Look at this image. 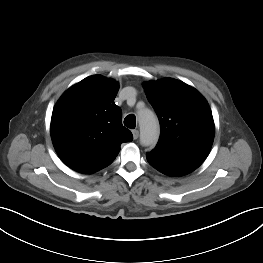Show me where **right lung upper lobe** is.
<instances>
[{
    "instance_id": "1",
    "label": "right lung upper lobe",
    "mask_w": 263,
    "mask_h": 263,
    "mask_svg": "<svg viewBox=\"0 0 263 263\" xmlns=\"http://www.w3.org/2000/svg\"><path fill=\"white\" fill-rule=\"evenodd\" d=\"M119 85L93 75L70 87L56 103L51 118L55 150L71 169L95 173L110 165L120 145L132 141L114 103Z\"/></svg>"
}]
</instances>
